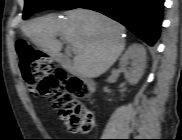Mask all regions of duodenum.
<instances>
[{
    "label": "duodenum",
    "instance_id": "1",
    "mask_svg": "<svg viewBox=\"0 0 182 140\" xmlns=\"http://www.w3.org/2000/svg\"><path fill=\"white\" fill-rule=\"evenodd\" d=\"M52 55L66 69H68L70 71H74L75 70L71 60L67 56L60 55V54H57V53H52ZM83 80L86 83L88 89L91 90V91H94V89H95V82L91 78L86 77V76H83Z\"/></svg>",
    "mask_w": 182,
    "mask_h": 140
}]
</instances>
